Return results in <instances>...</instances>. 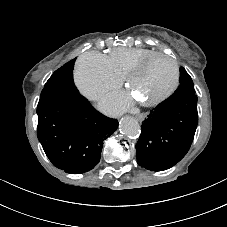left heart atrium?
Segmentation results:
<instances>
[{"label": "left heart atrium", "instance_id": "1", "mask_svg": "<svg viewBox=\"0 0 227 227\" xmlns=\"http://www.w3.org/2000/svg\"><path fill=\"white\" fill-rule=\"evenodd\" d=\"M131 96L124 92L112 93L101 102V108L108 113H119L130 107Z\"/></svg>", "mask_w": 227, "mask_h": 227}]
</instances>
